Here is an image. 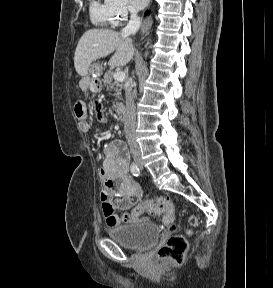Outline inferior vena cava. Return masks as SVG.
Returning <instances> with one entry per match:
<instances>
[{"mask_svg":"<svg viewBox=\"0 0 273 288\" xmlns=\"http://www.w3.org/2000/svg\"><path fill=\"white\" fill-rule=\"evenodd\" d=\"M130 20L126 27L123 28L121 34L124 37H128L131 34H135L140 25V17L137 16V11L134 8L130 10ZM125 98H126V110L124 115V131L130 151L132 154H138L140 152L139 145L136 140L135 124H136V113L134 97L132 94V78L128 79L125 87Z\"/></svg>","mask_w":273,"mask_h":288,"instance_id":"1","label":"inferior vena cava"}]
</instances>
